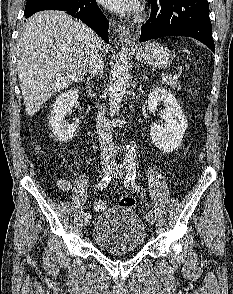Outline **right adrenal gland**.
Wrapping results in <instances>:
<instances>
[{
	"label": "right adrenal gland",
	"instance_id": "obj_1",
	"mask_svg": "<svg viewBox=\"0 0 233 294\" xmlns=\"http://www.w3.org/2000/svg\"><path fill=\"white\" fill-rule=\"evenodd\" d=\"M87 80H88V81H90V80H91V78H90V77H88V78H87Z\"/></svg>",
	"mask_w": 233,
	"mask_h": 294
}]
</instances>
